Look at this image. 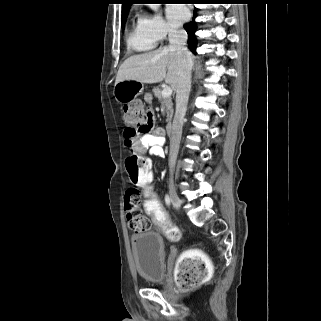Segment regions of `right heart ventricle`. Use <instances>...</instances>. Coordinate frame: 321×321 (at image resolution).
Here are the masks:
<instances>
[{"label": "right heart ventricle", "mask_w": 321, "mask_h": 321, "mask_svg": "<svg viewBox=\"0 0 321 321\" xmlns=\"http://www.w3.org/2000/svg\"><path fill=\"white\" fill-rule=\"evenodd\" d=\"M156 40L144 31L138 22L132 26L127 35V46L135 52H147L156 45Z\"/></svg>", "instance_id": "right-heart-ventricle-1"}]
</instances>
